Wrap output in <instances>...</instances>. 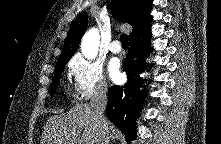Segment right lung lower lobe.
Returning a JSON list of instances; mask_svg holds the SVG:
<instances>
[{
  "label": "right lung lower lobe",
  "mask_w": 221,
  "mask_h": 144,
  "mask_svg": "<svg viewBox=\"0 0 221 144\" xmlns=\"http://www.w3.org/2000/svg\"><path fill=\"white\" fill-rule=\"evenodd\" d=\"M151 28L129 39V51L123 69L127 72V83L122 87L111 86L108 93L107 117L119 127L126 141L136 137V120L142 108V101L147 96L146 90H139L143 81L139 73L147 67L144 58L149 55Z\"/></svg>",
  "instance_id": "98d812e1"
}]
</instances>
